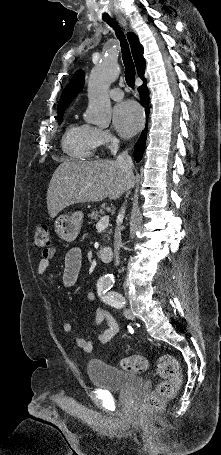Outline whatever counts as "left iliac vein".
<instances>
[{
	"label": "left iliac vein",
	"instance_id": "obj_1",
	"mask_svg": "<svg viewBox=\"0 0 221 455\" xmlns=\"http://www.w3.org/2000/svg\"><path fill=\"white\" fill-rule=\"evenodd\" d=\"M123 313H124V315H125V317L127 319H129V320H134L135 319V317H134V315H133V313H132V311L130 309L125 308Z\"/></svg>",
	"mask_w": 221,
	"mask_h": 455
}]
</instances>
